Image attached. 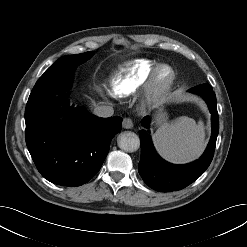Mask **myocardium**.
<instances>
[{
    "instance_id": "obj_1",
    "label": "myocardium",
    "mask_w": 247,
    "mask_h": 247,
    "mask_svg": "<svg viewBox=\"0 0 247 247\" xmlns=\"http://www.w3.org/2000/svg\"><path fill=\"white\" fill-rule=\"evenodd\" d=\"M167 71L168 76L161 80V74ZM176 80L174 69L168 64L158 65L150 74L143 87L142 99L145 104L151 105L162 99L171 89Z\"/></svg>"
}]
</instances>
